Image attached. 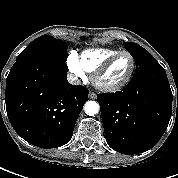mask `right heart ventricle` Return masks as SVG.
<instances>
[{"mask_svg":"<svg viewBox=\"0 0 178 178\" xmlns=\"http://www.w3.org/2000/svg\"><path fill=\"white\" fill-rule=\"evenodd\" d=\"M117 49L110 48H92L83 51L78 60L85 71L94 73V71L109 57L118 53Z\"/></svg>","mask_w":178,"mask_h":178,"instance_id":"obj_1","label":"right heart ventricle"}]
</instances>
